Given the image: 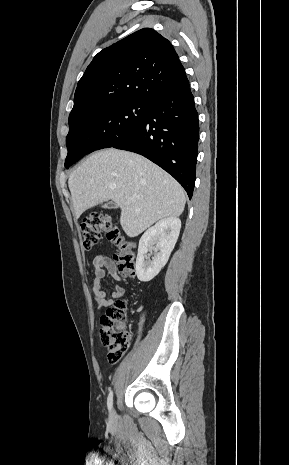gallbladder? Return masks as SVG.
Returning a JSON list of instances; mask_svg holds the SVG:
<instances>
[{
  "label": "gallbladder",
  "mask_w": 289,
  "mask_h": 465,
  "mask_svg": "<svg viewBox=\"0 0 289 465\" xmlns=\"http://www.w3.org/2000/svg\"><path fill=\"white\" fill-rule=\"evenodd\" d=\"M118 205L113 202H107L103 205V208H117Z\"/></svg>",
  "instance_id": "obj_1"
}]
</instances>
